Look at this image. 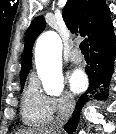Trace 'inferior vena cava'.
<instances>
[{"label": "inferior vena cava", "mask_w": 116, "mask_h": 134, "mask_svg": "<svg viewBox=\"0 0 116 134\" xmlns=\"http://www.w3.org/2000/svg\"><path fill=\"white\" fill-rule=\"evenodd\" d=\"M74 110V101L70 98L66 100L64 107L59 112L56 120L53 122L52 129L56 132H61L64 124L70 118L72 112Z\"/></svg>", "instance_id": "obj_1"}]
</instances>
